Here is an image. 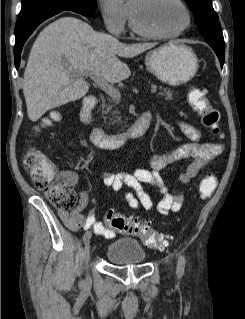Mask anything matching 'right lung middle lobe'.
I'll return each instance as SVG.
<instances>
[{"label":"right lung middle lobe","mask_w":245,"mask_h":319,"mask_svg":"<svg viewBox=\"0 0 245 319\" xmlns=\"http://www.w3.org/2000/svg\"><path fill=\"white\" fill-rule=\"evenodd\" d=\"M74 10L84 16H93L96 0H22V8L18 20L55 9Z\"/></svg>","instance_id":"1"}]
</instances>
